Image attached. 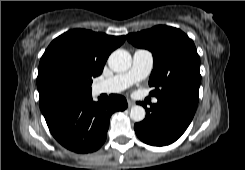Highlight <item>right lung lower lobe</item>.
<instances>
[{"instance_id": "obj_1", "label": "right lung lower lobe", "mask_w": 245, "mask_h": 170, "mask_svg": "<svg viewBox=\"0 0 245 170\" xmlns=\"http://www.w3.org/2000/svg\"><path fill=\"white\" fill-rule=\"evenodd\" d=\"M126 108L123 96L110 95L107 100L94 102L89 95L64 105L45 120L51 134L65 148L88 153L105 142L110 116Z\"/></svg>"}]
</instances>
